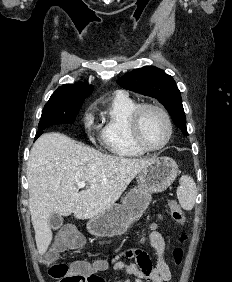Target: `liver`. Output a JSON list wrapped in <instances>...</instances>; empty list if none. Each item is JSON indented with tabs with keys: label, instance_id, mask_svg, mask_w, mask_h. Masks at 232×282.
<instances>
[{
	"label": "liver",
	"instance_id": "liver-1",
	"mask_svg": "<svg viewBox=\"0 0 232 282\" xmlns=\"http://www.w3.org/2000/svg\"><path fill=\"white\" fill-rule=\"evenodd\" d=\"M151 159H132L103 154L76 144L60 132L40 136L34 143L27 167L29 210L38 253H46L53 213L90 219L113 206L134 177ZM88 188L78 192L77 183Z\"/></svg>",
	"mask_w": 232,
	"mask_h": 282
}]
</instances>
